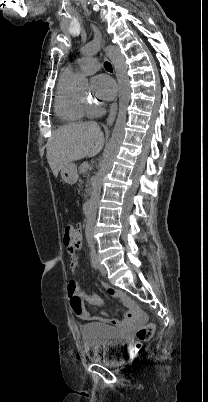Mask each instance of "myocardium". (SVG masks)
I'll return each instance as SVG.
<instances>
[{
  "label": "myocardium",
  "instance_id": "myocardium-1",
  "mask_svg": "<svg viewBox=\"0 0 208 402\" xmlns=\"http://www.w3.org/2000/svg\"><path fill=\"white\" fill-rule=\"evenodd\" d=\"M81 100L85 103L89 101V98L86 96V94H80Z\"/></svg>",
  "mask_w": 208,
  "mask_h": 402
}]
</instances>
